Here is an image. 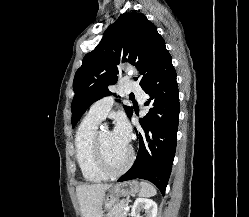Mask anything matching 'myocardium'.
Listing matches in <instances>:
<instances>
[{
    "label": "myocardium",
    "mask_w": 249,
    "mask_h": 217,
    "mask_svg": "<svg viewBox=\"0 0 249 217\" xmlns=\"http://www.w3.org/2000/svg\"><path fill=\"white\" fill-rule=\"evenodd\" d=\"M94 147H95V154L98 166L100 170L106 174L107 176H119L123 174L132 164L134 159V151L132 147H128L127 149V158L125 162L119 168H113L105 155L103 145L101 142V132H97L94 138Z\"/></svg>",
    "instance_id": "myocardium-1"
}]
</instances>
